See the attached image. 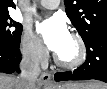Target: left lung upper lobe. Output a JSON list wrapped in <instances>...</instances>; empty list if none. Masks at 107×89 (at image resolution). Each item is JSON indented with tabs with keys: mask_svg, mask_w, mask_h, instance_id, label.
Returning a JSON list of instances; mask_svg holds the SVG:
<instances>
[{
	"mask_svg": "<svg viewBox=\"0 0 107 89\" xmlns=\"http://www.w3.org/2000/svg\"><path fill=\"white\" fill-rule=\"evenodd\" d=\"M66 13L84 42L107 31V0H64Z\"/></svg>",
	"mask_w": 107,
	"mask_h": 89,
	"instance_id": "1",
	"label": "left lung upper lobe"
}]
</instances>
